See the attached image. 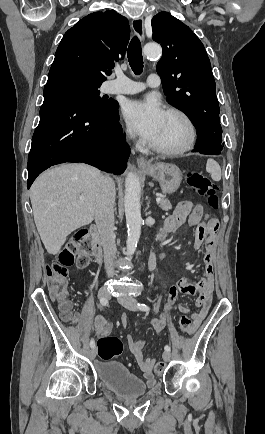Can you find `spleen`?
<instances>
[{
    "mask_svg": "<svg viewBox=\"0 0 265 434\" xmlns=\"http://www.w3.org/2000/svg\"><path fill=\"white\" fill-rule=\"evenodd\" d=\"M206 170H207V172H209V174H210L212 180H214V182H219V180H221V168H220L219 164H217V162H215V160H211V158H209V160H207Z\"/></svg>",
    "mask_w": 265,
    "mask_h": 434,
    "instance_id": "1",
    "label": "spleen"
}]
</instances>
